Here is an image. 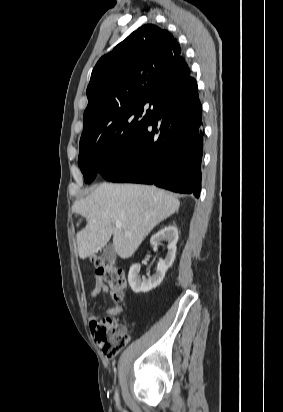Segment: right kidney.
Instances as JSON below:
<instances>
[{
	"mask_svg": "<svg viewBox=\"0 0 283 412\" xmlns=\"http://www.w3.org/2000/svg\"><path fill=\"white\" fill-rule=\"evenodd\" d=\"M162 241H167L168 252L164 259H160L157 265L156 273L149 276L148 279L139 276L140 265L133 264L129 269L128 282L135 293H146L156 288L162 282L166 271L172 266L176 255V244L178 241V230L174 226H168L157 232L151 237V244L159 245Z\"/></svg>",
	"mask_w": 283,
	"mask_h": 412,
	"instance_id": "1",
	"label": "right kidney"
}]
</instances>
